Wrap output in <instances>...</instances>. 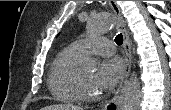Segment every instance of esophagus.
<instances>
[{
  "mask_svg": "<svg viewBox=\"0 0 171 110\" xmlns=\"http://www.w3.org/2000/svg\"><path fill=\"white\" fill-rule=\"evenodd\" d=\"M109 4L117 17V29L120 30L123 34L126 65H125V72H124L123 78L121 80V83L117 91L115 92L113 98L103 105V109L104 110H115V109L118 110L124 98V94H125L126 86H127V79H128L130 69H131V61H132L131 43H130L128 32L125 27L124 19L121 14L120 7L118 6L116 1H109Z\"/></svg>",
  "mask_w": 171,
  "mask_h": 110,
  "instance_id": "obj_1",
  "label": "esophagus"
}]
</instances>
